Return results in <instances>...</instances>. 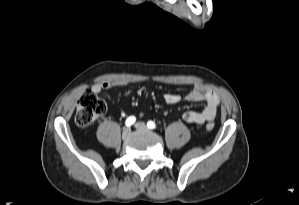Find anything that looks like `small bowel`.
Wrapping results in <instances>:
<instances>
[{"label":"small bowel","instance_id":"obj_1","mask_svg":"<svg viewBox=\"0 0 299 205\" xmlns=\"http://www.w3.org/2000/svg\"><path fill=\"white\" fill-rule=\"evenodd\" d=\"M121 85L122 84L112 82H101L94 84L91 88V91L95 94H98L101 91L110 90ZM163 98L164 101L170 105L177 104L182 100L191 102H204L205 108L202 111L190 110L183 114V119L187 123L198 125L214 120L220 103L217 93L201 84H195L185 98L175 93H166L164 94Z\"/></svg>","mask_w":299,"mask_h":205}]
</instances>
